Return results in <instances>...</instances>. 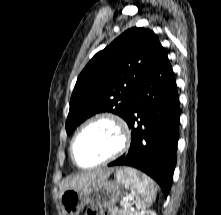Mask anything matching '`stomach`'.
Here are the masks:
<instances>
[{"label": "stomach", "instance_id": "1", "mask_svg": "<svg viewBox=\"0 0 221 215\" xmlns=\"http://www.w3.org/2000/svg\"><path fill=\"white\" fill-rule=\"evenodd\" d=\"M126 170L122 172L125 173ZM136 173L140 177L143 175L138 171ZM124 187L125 184L120 179H105L83 190H65L60 196L63 212L65 215H79L85 206L111 210L122 195Z\"/></svg>", "mask_w": 221, "mask_h": 215}]
</instances>
